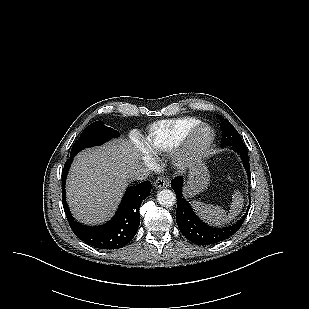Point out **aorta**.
Here are the masks:
<instances>
[{
	"mask_svg": "<svg viewBox=\"0 0 309 309\" xmlns=\"http://www.w3.org/2000/svg\"><path fill=\"white\" fill-rule=\"evenodd\" d=\"M158 203L163 207H171L175 204L176 196L169 189L160 190L157 193Z\"/></svg>",
	"mask_w": 309,
	"mask_h": 309,
	"instance_id": "obj_1",
	"label": "aorta"
}]
</instances>
